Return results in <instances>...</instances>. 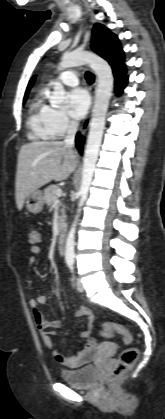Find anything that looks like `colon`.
<instances>
[{
  "mask_svg": "<svg viewBox=\"0 0 165 419\" xmlns=\"http://www.w3.org/2000/svg\"><path fill=\"white\" fill-rule=\"evenodd\" d=\"M29 239L32 243H37L39 240L38 235L35 232H30ZM114 333L120 335L124 343L128 347L120 353L117 361L115 362L113 369L109 375L110 382L116 381L121 376H123L128 370H130V368L136 363L139 356L138 348L130 346L132 344L133 337L131 332L127 328L111 322L103 325V336L110 337Z\"/></svg>",
  "mask_w": 165,
  "mask_h": 419,
  "instance_id": "obj_1",
  "label": "colon"
}]
</instances>
